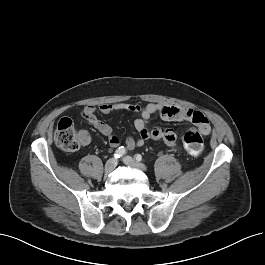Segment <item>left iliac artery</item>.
<instances>
[{"label":"left iliac artery","mask_w":265,"mask_h":265,"mask_svg":"<svg viewBox=\"0 0 265 265\" xmlns=\"http://www.w3.org/2000/svg\"><path fill=\"white\" fill-rule=\"evenodd\" d=\"M135 159H136L137 161H142V160H143V158H142V156H141L140 154H136V155H135Z\"/></svg>","instance_id":"obj_1"}]
</instances>
